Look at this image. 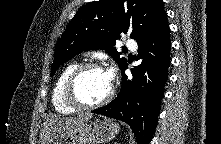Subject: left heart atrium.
I'll return each mask as SVG.
<instances>
[{"label": "left heart atrium", "mask_w": 221, "mask_h": 144, "mask_svg": "<svg viewBox=\"0 0 221 144\" xmlns=\"http://www.w3.org/2000/svg\"><path fill=\"white\" fill-rule=\"evenodd\" d=\"M106 75H107V78L109 80V82L111 83L112 80H113V77H114V71L113 69H109L106 71Z\"/></svg>", "instance_id": "39dd6f15"}]
</instances>
